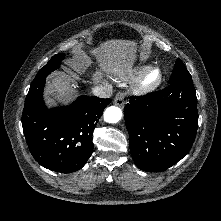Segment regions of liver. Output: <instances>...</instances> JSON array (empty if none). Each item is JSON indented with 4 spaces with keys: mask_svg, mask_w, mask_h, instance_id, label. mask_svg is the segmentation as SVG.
I'll list each match as a JSON object with an SVG mask.
<instances>
[{
    "mask_svg": "<svg viewBox=\"0 0 221 221\" xmlns=\"http://www.w3.org/2000/svg\"><path fill=\"white\" fill-rule=\"evenodd\" d=\"M136 43L130 40L113 39L101 43L97 48L90 50L99 62L103 72L113 75H125L132 72L136 58ZM78 59L85 58V54L77 50ZM77 72L81 71V63H73ZM75 73L67 75L64 72H56L50 76L47 82L46 99L48 103H68L76 94ZM104 74L97 72L93 76L94 83L103 81Z\"/></svg>",
    "mask_w": 221,
    "mask_h": 221,
    "instance_id": "1",
    "label": "liver"
}]
</instances>
